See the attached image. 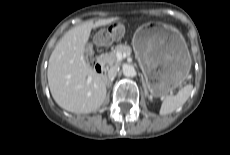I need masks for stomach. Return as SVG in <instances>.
I'll use <instances>...</instances> for the list:
<instances>
[{
	"instance_id": "0dacf381",
	"label": "stomach",
	"mask_w": 230,
	"mask_h": 155,
	"mask_svg": "<svg viewBox=\"0 0 230 155\" xmlns=\"http://www.w3.org/2000/svg\"><path fill=\"white\" fill-rule=\"evenodd\" d=\"M132 47L152 97H166L186 80L191 57L179 31L161 21L140 26Z\"/></svg>"
}]
</instances>
